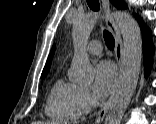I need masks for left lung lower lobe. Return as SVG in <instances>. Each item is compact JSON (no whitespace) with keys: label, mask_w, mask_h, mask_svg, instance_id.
Instances as JSON below:
<instances>
[{"label":"left lung lower lobe","mask_w":156,"mask_h":124,"mask_svg":"<svg viewBox=\"0 0 156 124\" xmlns=\"http://www.w3.org/2000/svg\"><path fill=\"white\" fill-rule=\"evenodd\" d=\"M140 26L143 33V57L145 66V75L149 74L150 68L152 66V55L154 53V47L150 41V30L147 29L140 21Z\"/></svg>","instance_id":"left-lung-lower-lobe-1"}]
</instances>
